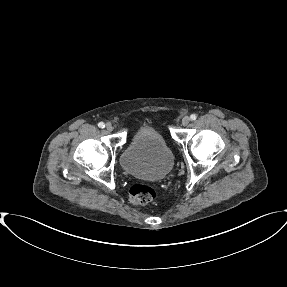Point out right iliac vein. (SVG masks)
Here are the masks:
<instances>
[{
	"label": "right iliac vein",
	"instance_id": "right-iliac-vein-1",
	"mask_svg": "<svg viewBox=\"0 0 287 287\" xmlns=\"http://www.w3.org/2000/svg\"><path fill=\"white\" fill-rule=\"evenodd\" d=\"M106 130H107L108 132L113 131V126H112L111 123H107V124H106Z\"/></svg>",
	"mask_w": 287,
	"mask_h": 287
}]
</instances>
